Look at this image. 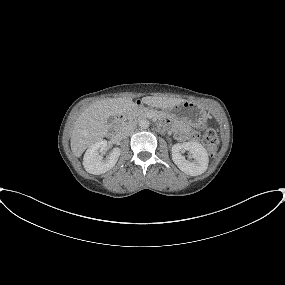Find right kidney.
Here are the masks:
<instances>
[{"instance_id":"1","label":"right kidney","mask_w":285,"mask_h":285,"mask_svg":"<svg viewBox=\"0 0 285 285\" xmlns=\"http://www.w3.org/2000/svg\"><path fill=\"white\" fill-rule=\"evenodd\" d=\"M107 147L106 140H99L91 145L84 154L83 165L88 173L100 175L115 166L120 156V149L113 148L111 153L103 159L100 153L104 152Z\"/></svg>"}]
</instances>
